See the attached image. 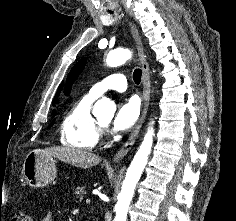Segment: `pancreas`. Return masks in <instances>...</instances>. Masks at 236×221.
<instances>
[{"mask_svg":"<svg viewBox=\"0 0 236 221\" xmlns=\"http://www.w3.org/2000/svg\"><path fill=\"white\" fill-rule=\"evenodd\" d=\"M85 190H84V187H79L76 191H75V195H76V198H79L80 200L83 199V196L85 194Z\"/></svg>","mask_w":236,"mask_h":221,"instance_id":"obj_1","label":"pancreas"}]
</instances>
